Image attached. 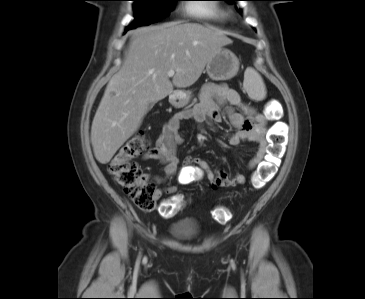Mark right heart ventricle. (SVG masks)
I'll return each instance as SVG.
<instances>
[{"label": "right heart ventricle", "mask_w": 365, "mask_h": 299, "mask_svg": "<svg viewBox=\"0 0 365 299\" xmlns=\"http://www.w3.org/2000/svg\"><path fill=\"white\" fill-rule=\"evenodd\" d=\"M188 11L193 16L208 21H223L226 18L224 9L213 3L193 4Z\"/></svg>", "instance_id": "obj_1"}]
</instances>
